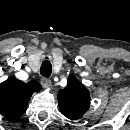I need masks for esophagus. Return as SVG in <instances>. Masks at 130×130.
I'll return each instance as SVG.
<instances>
[{
	"label": "esophagus",
	"instance_id": "1",
	"mask_svg": "<svg viewBox=\"0 0 130 130\" xmlns=\"http://www.w3.org/2000/svg\"><path fill=\"white\" fill-rule=\"evenodd\" d=\"M41 83H42L43 87L47 88V89L51 88V86H52V82L48 78H42Z\"/></svg>",
	"mask_w": 130,
	"mask_h": 130
}]
</instances>
